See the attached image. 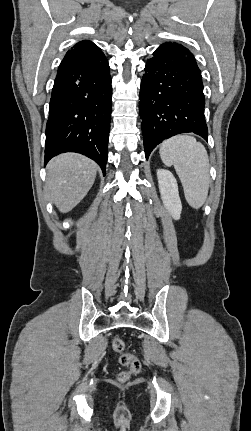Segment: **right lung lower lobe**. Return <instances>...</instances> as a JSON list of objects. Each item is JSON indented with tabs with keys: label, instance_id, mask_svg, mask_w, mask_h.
<instances>
[{
	"label": "right lung lower lobe",
	"instance_id": "98d812e1",
	"mask_svg": "<svg viewBox=\"0 0 251 431\" xmlns=\"http://www.w3.org/2000/svg\"><path fill=\"white\" fill-rule=\"evenodd\" d=\"M112 86L108 61L99 47L69 50L59 65L46 125L45 165L63 152L93 159L105 175Z\"/></svg>",
	"mask_w": 251,
	"mask_h": 431
}]
</instances>
